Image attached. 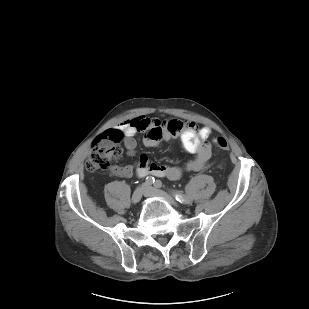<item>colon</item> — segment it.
<instances>
[{
    "label": "colon",
    "instance_id": "colon-1",
    "mask_svg": "<svg viewBox=\"0 0 309 309\" xmlns=\"http://www.w3.org/2000/svg\"><path fill=\"white\" fill-rule=\"evenodd\" d=\"M122 134L113 132L96 139L90 147V152L86 161V168L89 171L107 170L112 162L122 155V148L119 141ZM216 145L221 150L229 148L228 142L220 137L216 140Z\"/></svg>",
    "mask_w": 309,
    "mask_h": 309
}]
</instances>
